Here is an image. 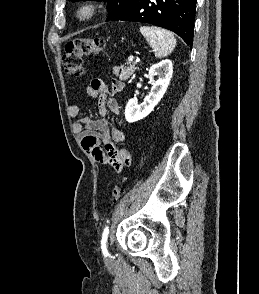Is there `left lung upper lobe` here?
<instances>
[{"label": "left lung upper lobe", "mask_w": 259, "mask_h": 294, "mask_svg": "<svg viewBox=\"0 0 259 294\" xmlns=\"http://www.w3.org/2000/svg\"><path fill=\"white\" fill-rule=\"evenodd\" d=\"M72 2L80 1V0H69ZM108 2L107 10H108V18L116 15L120 11L126 9L130 5H132L136 0H97Z\"/></svg>", "instance_id": "left-lung-upper-lobe-1"}]
</instances>
